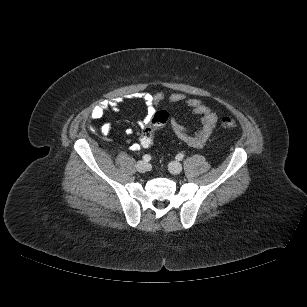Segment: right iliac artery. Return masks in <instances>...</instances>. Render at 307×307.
<instances>
[{
    "mask_svg": "<svg viewBox=\"0 0 307 307\" xmlns=\"http://www.w3.org/2000/svg\"><path fill=\"white\" fill-rule=\"evenodd\" d=\"M143 160H144L145 162H149V161L151 160V156H150L149 154H145V155L143 156Z\"/></svg>",
    "mask_w": 307,
    "mask_h": 307,
    "instance_id": "82829eb1",
    "label": "right iliac artery"
}]
</instances>
